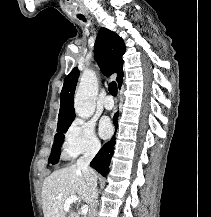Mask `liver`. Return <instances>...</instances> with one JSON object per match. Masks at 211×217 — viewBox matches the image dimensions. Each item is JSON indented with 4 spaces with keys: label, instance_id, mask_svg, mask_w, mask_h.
Wrapping results in <instances>:
<instances>
[{
    "label": "liver",
    "instance_id": "liver-1",
    "mask_svg": "<svg viewBox=\"0 0 211 217\" xmlns=\"http://www.w3.org/2000/svg\"><path fill=\"white\" fill-rule=\"evenodd\" d=\"M95 176L97 177L96 173ZM70 196H76L79 202L86 203L90 209L86 177L75 164L57 170L45 178L42 186L44 217H79L72 207H69L68 211L64 210L65 201Z\"/></svg>",
    "mask_w": 211,
    "mask_h": 217
}]
</instances>
